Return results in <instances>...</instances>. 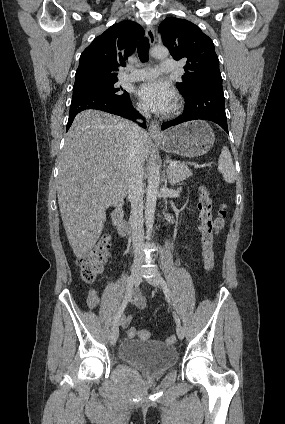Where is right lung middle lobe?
<instances>
[{
  "label": "right lung middle lobe",
  "mask_w": 285,
  "mask_h": 424,
  "mask_svg": "<svg viewBox=\"0 0 285 424\" xmlns=\"http://www.w3.org/2000/svg\"><path fill=\"white\" fill-rule=\"evenodd\" d=\"M118 80L109 81H88L73 86V96L95 94L105 97H110L118 100H125L129 98V94L126 91H121L120 88L115 86Z\"/></svg>",
  "instance_id": "right-lung-middle-lobe-1"
}]
</instances>
